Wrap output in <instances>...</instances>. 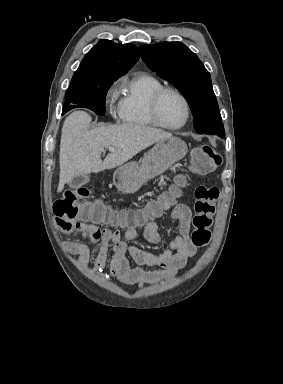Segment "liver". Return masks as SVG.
Wrapping results in <instances>:
<instances>
[{
    "mask_svg": "<svg viewBox=\"0 0 283 384\" xmlns=\"http://www.w3.org/2000/svg\"><path fill=\"white\" fill-rule=\"evenodd\" d=\"M91 122L92 118L87 112H72L63 124L57 192H62L65 184L77 176L121 166L141 150L172 136L170 132L141 124L102 126L88 130ZM104 148H114L115 152L108 154L102 162L100 156Z\"/></svg>",
    "mask_w": 283,
    "mask_h": 384,
    "instance_id": "obj_1",
    "label": "liver"
}]
</instances>
